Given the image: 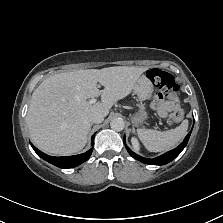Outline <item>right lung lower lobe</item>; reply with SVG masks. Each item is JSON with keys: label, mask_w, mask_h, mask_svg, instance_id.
Here are the masks:
<instances>
[{"label": "right lung lower lobe", "mask_w": 223, "mask_h": 223, "mask_svg": "<svg viewBox=\"0 0 223 223\" xmlns=\"http://www.w3.org/2000/svg\"><path fill=\"white\" fill-rule=\"evenodd\" d=\"M94 137L95 135L92 136V145L94 144ZM32 148L34 149V151L44 160H46L47 162L59 167V168H72V167H76L80 164H82L83 162H85L86 160H88V158L90 157L91 153H92V149H90L89 151L83 153V154H79V155H74V156H67V157H52L49 156L43 152H41L39 149H37L33 144H31Z\"/></svg>", "instance_id": "obj_1"}]
</instances>
